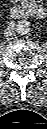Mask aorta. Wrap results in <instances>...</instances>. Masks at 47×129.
Returning a JSON list of instances; mask_svg holds the SVG:
<instances>
[{
    "instance_id": "aorta-1",
    "label": "aorta",
    "mask_w": 47,
    "mask_h": 129,
    "mask_svg": "<svg viewBox=\"0 0 47 129\" xmlns=\"http://www.w3.org/2000/svg\"><path fill=\"white\" fill-rule=\"evenodd\" d=\"M31 29L30 22L27 20H20L15 26V30L20 35L28 34Z\"/></svg>"
}]
</instances>
